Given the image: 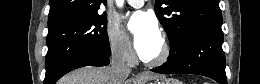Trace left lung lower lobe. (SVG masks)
Wrapping results in <instances>:
<instances>
[{
	"label": "left lung lower lobe",
	"mask_w": 260,
	"mask_h": 84,
	"mask_svg": "<svg viewBox=\"0 0 260 84\" xmlns=\"http://www.w3.org/2000/svg\"><path fill=\"white\" fill-rule=\"evenodd\" d=\"M223 33L219 26L195 29L183 39L166 63L152 69L161 74H198L227 84Z\"/></svg>",
	"instance_id": "1"
}]
</instances>
